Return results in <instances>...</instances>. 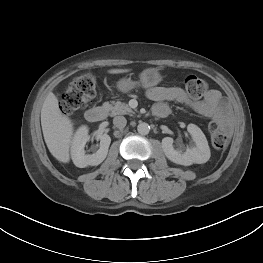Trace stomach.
<instances>
[{
    "instance_id": "stomach-1",
    "label": "stomach",
    "mask_w": 263,
    "mask_h": 263,
    "mask_svg": "<svg viewBox=\"0 0 263 263\" xmlns=\"http://www.w3.org/2000/svg\"><path fill=\"white\" fill-rule=\"evenodd\" d=\"M162 77L156 68L145 69L140 74L139 82L131 80V78H122L117 82V88L123 93H127L137 86H142L143 88H151L160 83Z\"/></svg>"
}]
</instances>
